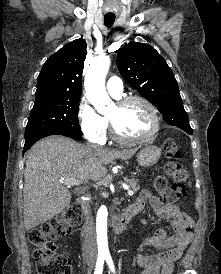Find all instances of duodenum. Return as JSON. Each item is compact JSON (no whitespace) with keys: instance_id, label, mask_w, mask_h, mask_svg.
Segmentation results:
<instances>
[{"instance_id":"410a0bca","label":"duodenum","mask_w":221,"mask_h":274,"mask_svg":"<svg viewBox=\"0 0 221 274\" xmlns=\"http://www.w3.org/2000/svg\"><path fill=\"white\" fill-rule=\"evenodd\" d=\"M78 204L80 205L81 209L83 210L84 216L86 219L89 217V209L88 203L86 199L81 198L78 200ZM136 214L134 207L131 205L127 207L123 212L120 214H116L113 216L112 219V226L113 230L116 234L123 233L131 220V218Z\"/></svg>"}]
</instances>
